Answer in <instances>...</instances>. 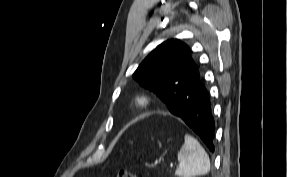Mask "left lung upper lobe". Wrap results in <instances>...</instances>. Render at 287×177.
Listing matches in <instances>:
<instances>
[{
  "label": "left lung upper lobe",
  "mask_w": 287,
  "mask_h": 177,
  "mask_svg": "<svg viewBox=\"0 0 287 177\" xmlns=\"http://www.w3.org/2000/svg\"><path fill=\"white\" fill-rule=\"evenodd\" d=\"M142 86L154 91L167 105L177 99L181 90L200 82L198 65L187 45L169 39L151 52L134 72Z\"/></svg>",
  "instance_id": "1"
}]
</instances>
